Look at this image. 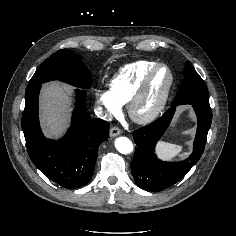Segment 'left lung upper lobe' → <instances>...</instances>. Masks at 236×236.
Segmentation results:
<instances>
[{"instance_id":"left-lung-upper-lobe-1","label":"left lung upper lobe","mask_w":236,"mask_h":236,"mask_svg":"<svg viewBox=\"0 0 236 236\" xmlns=\"http://www.w3.org/2000/svg\"><path fill=\"white\" fill-rule=\"evenodd\" d=\"M172 104H197L210 107L206 84L189 62H186L184 80Z\"/></svg>"}]
</instances>
